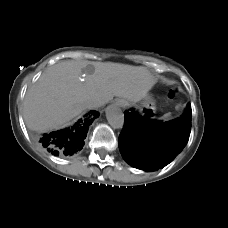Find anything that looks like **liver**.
<instances>
[{"instance_id":"liver-1","label":"liver","mask_w":228,"mask_h":228,"mask_svg":"<svg viewBox=\"0 0 228 228\" xmlns=\"http://www.w3.org/2000/svg\"><path fill=\"white\" fill-rule=\"evenodd\" d=\"M92 74L83 76L86 63L68 60L49 67L27 91L23 116L26 125L43 132L59 128L89 109L113 97L139 102L156 83L155 76L143 66L96 62Z\"/></svg>"}]
</instances>
